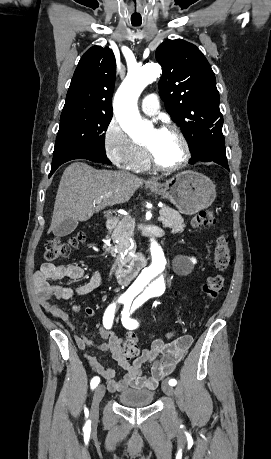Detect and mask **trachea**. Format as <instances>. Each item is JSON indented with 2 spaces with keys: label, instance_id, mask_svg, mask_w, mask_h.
Wrapping results in <instances>:
<instances>
[{
  "label": "trachea",
  "instance_id": "1",
  "mask_svg": "<svg viewBox=\"0 0 271 459\" xmlns=\"http://www.w3.org/2000/svg\"><path fill=\"white\" fill-rule=\"evenodd\" d=\"M139 25H134V27H138Z\"/></svg>",
  "mask_w": 271,
  "mask_h": 459
}]
</instances>
